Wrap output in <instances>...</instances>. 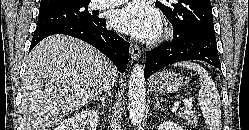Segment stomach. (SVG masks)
I'll return each instance as SVG.
<instances>
[{"mask_svg": "<svg viewBox=\"0 0 249 130\" xmlns=\"http://www.w3.org/2000/svg\"><path fill=\"white\" fill-rule=\"evenodd\" d=\"M184 85L182 76L172 71H162L151 80V87L158 92L172 93Z\"/></svg>", "mask_w": 249, "mask_h": 130, "instance_id": "stomach-1", "label": "stomach"}]
</instances>
